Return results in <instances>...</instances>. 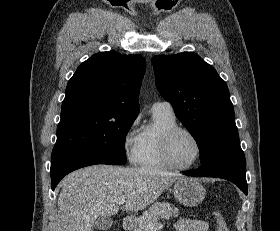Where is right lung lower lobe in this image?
<instances>
[{
    "label": "right lung lower lobe",
    "instance_id": "1",
    "mask_svg": "<svg viewBox=\"0 0 280 231\" xmlns=\"http://www.w3.org/2000/svg\"><path fill=\"white\" fill-rule=\"evenodd\" d=\"M95 164L120 165L102 157L75 149H53L50 171L52 190L68 173Z\"/></svg>",
    "mask_w": 280,
    "mask_h": 231
}]
</instances>
